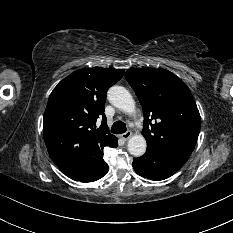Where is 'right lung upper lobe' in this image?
Returning a JSON list of instances; mask_svg holds the SVG:
<instances>
[{
	"label": "right lung upper lobe",
	"mask_w": 233,
	"mask_h": 233,
	"mask_svg": "<svg viewBox=\"0 0 233 233\" xmlns=\"http://www.w3.org/2000/svg\"><path fill=\"white\" fill-rule=\"evenodd\" d=\"M124 69L95 67L64 78L50 94L43 119L44 140L53 162L60 168L96 166L106 146L116 147L104 114L107 90ZM102 119L96 128V121Z\"/></svg>",
	"instance_id": "cb5924a9"
}]
</instances>
